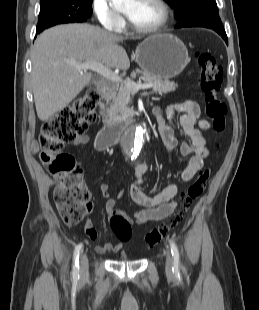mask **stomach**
Segmentation results:
<instances>
[{"label":"stomach","instance_id":"1","mask_svg":"<svg viewBox=\"0 0 259 310\" xmlns=\"http://www.w3.org/2000/svg\"><path fill=\"white\" fill-rule=\"evenodd\" d=\"M135 59L143 72L161 79L178 76L189 61L184 43L169 33L142 41L136 48Z\"/></svg>","mask_w":259,"mask_h":310}]
</instances>
